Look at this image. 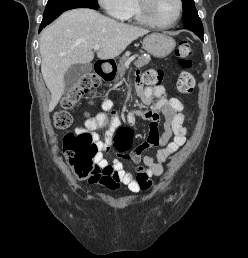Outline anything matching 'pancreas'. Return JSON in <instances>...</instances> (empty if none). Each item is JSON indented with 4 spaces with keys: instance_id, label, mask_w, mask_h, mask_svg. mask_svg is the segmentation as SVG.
I'll list each match as a JSON object with an SVG mask.
<instances>
[{
    "instance_id": "1",
    "label": "pancreas",
    "mask_w": 248,
    "mask_h": 258,
    "mask_svg": "<svg viewBox=\"0 0 248 258\" xmlns=\"http://www.w3.org/2000/svg\"><path fill=\"white\" fill-rule=\"evenodd\" d=\"M129 59V54L126 53L123 55L119 61V64L117 65V77L115 81L118 80L120 76H122L126 69V62ZM150 62V56L149 55H141L138 57V59L134 62V65L138 68L143 67L144 65H147Z\"/></svg>"
}]
</instances>
